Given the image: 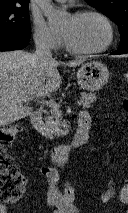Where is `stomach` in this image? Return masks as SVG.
<instances>
[{"mask_svg":"<svg viewBox=\"0 0 128 213\" xmlns=\"http://www.w3.org/2000/svg\"><path fill=\"white\" fill-rule=\"evenodd\" d=\"M108 79L109 71L107 67L98 61L86 62L77 71L78 84L87 91L101 89Z\"/></svg>","mask_w":128,"mask_h":213,"instance_id":"0dacf381","label":"stomach"}]
</instances>
